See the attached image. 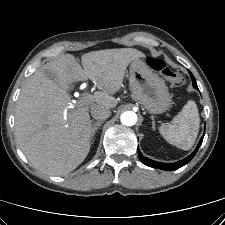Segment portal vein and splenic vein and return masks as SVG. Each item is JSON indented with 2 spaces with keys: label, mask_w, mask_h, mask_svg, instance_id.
Instances as JSON below:
<instances>
[{
  "label": "portal vein and splenic vein",
  "mask_w": 225,
  "mask_h": 225,
  "mask_svg": "<svg viewBox=\"0 0 225 225\" xmlns=\"http://www.w3.org/2000/svg\"><path fill=\"white\" fill-rule=\"evenodd\" d=\"M92 100V96L90 94H85L83 97V101L85 103H89ZM73 106H69L68 108H72Z\"/></svg>",
  "instance_id": "18ae733b"
}]
</instances>
